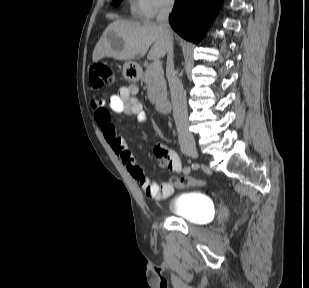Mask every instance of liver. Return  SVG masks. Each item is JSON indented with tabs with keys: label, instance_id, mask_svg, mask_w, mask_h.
<instances>
[{
	"label": "liver",
	"instance_id": "liver-1",
	"mask_svg": "<svg viewBox=\"0 0 309 288\" xmlns=\"http://www.w3.org/2000/svg\"><path fill=\"white\" fill-rule=\"evenodd\" d=\"M111 34L122 39L123 47L120 50L112 47L109 40ZM150 47L148 53L150 59H159L167 53V39L159 24L118 19L110 23L104 31L94 48L92 59L93 61L104 57H113L121 61L139 59Z\"/></svg>",
	"mask_w": 309,
	"mask_h": 288
}]
</instances>
